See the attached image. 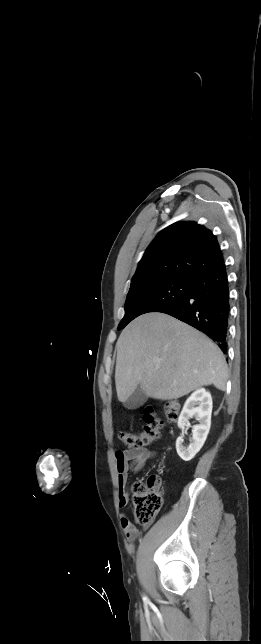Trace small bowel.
<instances>
[{"instance_id": "small-bowel-1", "label": "small bowel", "mask_w": 261, "mask_h": 644, "mask_svg": "<svg viewBox=\"0 0 261 644\" xmlns=\"http://www.w3.org/2000/svg\"><path fill=\"white\" fill-rule=\"evenodd\" d=\"M154 456L155 453L146 448L126 449L116 452L115 459L120 507H126L129 502V496L126 490L129 473L140 472L147 461ZM121 527L129 541H135L140 536V531L134 527L125 515L121 517ZM146 527H148V524L144 525V528Z\"/></svg>"}]
</instances>
